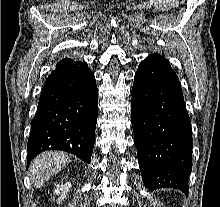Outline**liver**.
<instances>
[{
  "label": "liver",
  "mask_w": 220,
  "mask_h": 207,
  "mask_svg": "<svg viewBox=\"0 0 220 207\" xmlns=\"http://www.w3.org/2000/svg\"><path fill=\"white\" fill-rule=\"evenodd\" d=\"M69 162L70 158L63 152L49 151L41 153L30 164V180L36 188H39Z\"/></svg>",
  "instance_id": "obj_1"
}]
</instances>
